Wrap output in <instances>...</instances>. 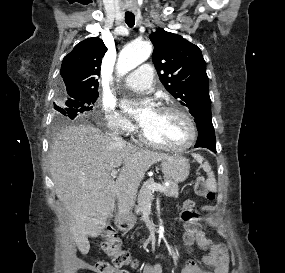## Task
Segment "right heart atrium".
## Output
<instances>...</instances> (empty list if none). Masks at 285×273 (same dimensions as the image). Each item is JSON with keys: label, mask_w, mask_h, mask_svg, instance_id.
I'll return each instance as SVG.
<instances>
[{"label": "right heart atrium", "mask_w": 285, "mask_h": 273, "mask_svg": "<svg viewBox=\"0 0 285 273\" xmlns=\"http://www.w3.org/2000/svg\"><path fill=\"white\" fill-rule=\"evenodd\" d=\"M105 126L120 135H129L134 131V126L124 116L118 113L109 102H103L101 106Z\"/></svg>", "instance_id": "obj_1"}]
</instances>
